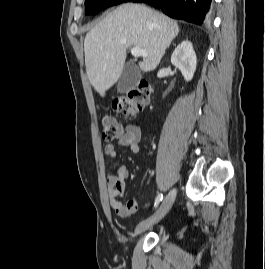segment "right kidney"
<instances>
[{
	"label": "right kidney",
	"instance_id": "1",
	"mask_svg": "<svg viewBox=\"0 0 265 269\" xmlns=\"http://www.w3.org/2000/svg\"><path fill=\"white\" fill-rule=\"evenodd\" d=\"M171 63L181 71L186 81L193 78L197 58L190 41L185 40L175 48L171 56Z\"/></svg>",
	"mask_w": 265,
	"mask_h": 269
}]
</instances>
